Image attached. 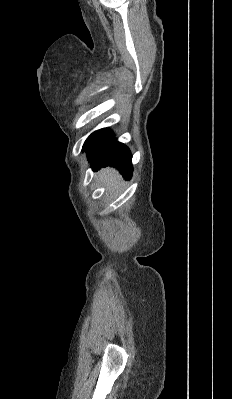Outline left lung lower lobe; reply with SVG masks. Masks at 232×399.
Masks as SVG:
<instances>
[{"instance_id":"obj_1","label":"left lung lower lobe","mask_w":232,"mask_h":399,"mask_svg":"<svg viewBox=\"0 0 232 399\" xmlns=\"http://www.w3.org/2000/svg\"><path fill=\"white\" fill-rule=\"evenodd\" d=\"M87 157L94 170L111 166L118 169L127 180L132 176L131 152L123 143L115 140L114 136L99 149L87 152Z\"/></svg>"}]
</instances>
